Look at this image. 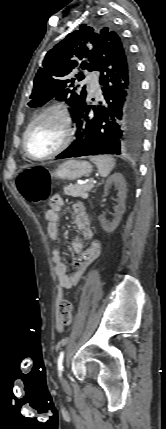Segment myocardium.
<instances>
[{"mask_svg":"<svg viewBox=\"0 0 166 429\" xmlns=\"http://www.w3.org/2000/svg\"><path fill=\"white\" fill-rule=\"evenodd\" d=\"M49 115H53L61 119L63 123V128H64L63 140L61 144L51 153L42 157H35L28 150V146H27L28 136L32 128L35 126V124L42 118ZM73 134H74L73 122H72V117L68 107L60 103L50 105L45 109H43L41 112H39L27 126L23 134V142H22L23 151L25 152L26 156L29 159L34 161H45V160L54 158L55 156L59 155L60 153H62L64 150L68 148V146L72 142Z\"/></svg>","mask_w":166,"mask_h":429,"instance_id":"myocardium-1","label":"myocardium"}]
</instances>
